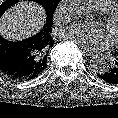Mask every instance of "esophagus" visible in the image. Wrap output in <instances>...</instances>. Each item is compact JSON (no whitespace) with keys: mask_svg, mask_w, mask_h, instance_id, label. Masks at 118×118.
<instances>
[{"mask_svg":"<svg viewBox=\"0 0 118 118\" xmlns=\"http://www.w3.org/2000/svg\"><path fill=\"white\" fill-rule=\"evenodd\" d=\"M83 53H84L86 56H88V57H93V56H94V54H93L92 52H90V51H88V50H86V49H83Z\"/></svg>","mask_w":118,"mask_h":118,"instance_id":"34e87169","label":"esophagus"}]
</instances>
